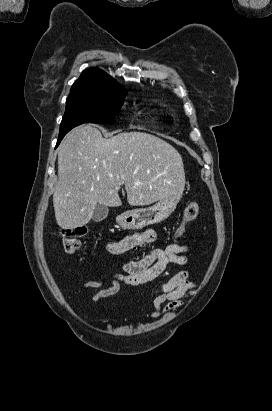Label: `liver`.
Here are the masks:
<instances>
[{
	"label": "liver",
	"instance_id": "1",
	"mask_svg": "<svg viewBox=\"0 0 272 411\" xmlns=\"http://www.w3.org/2000/svg\"><path fill=\"white\" fill-rule=\"evenodd\" d=\"M121 185L131 206L155 203L182 192L181 155L161 138L143 132L103 138L92 125L75 128L58 150V183L53 194L57 224L86 225L96 205L121 206Z\"/></svg>",
	"mask_w": 272,
	"mask_h": 411
}]
</instances>
